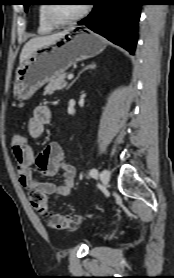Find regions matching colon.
I'll list each match as a JSON object with an SVG mask.
<instances>
[{"instance_id":"1","label":"colon","mask_w":174,"mask_h":278,"mask_svg":"<svg viewBox=\"0 0 174 278\" xmlns=\"http://www.w3.org/2000/svg\"><path fill=\"white\" fill-rule=\"evenodd\" d=\"M28 140L21 134H14L12 144L22 146ZM29 200L34 210L42 217H46L50 228L63 230L70 229L79 224L80 220L76 216L50 214L48 211V201L44 193L38 190L30 191Z\"/></svg>"}]
</instances>
